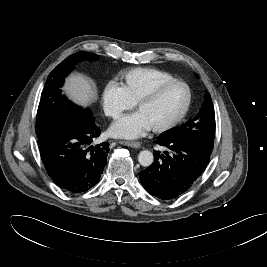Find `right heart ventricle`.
<instances>
[{
    "label": "right heart ventricle",
    "mask_w": 267,
    "mask_h": 267,
    "mask_svg": "<svg viewBox=\"0 0 267 267\" xmlns=\"http://www.w3.org/2000/svg\"><path fill=\"white\" fill-rule=\"evenodd\" d=\"M121 78L123 87L134 103L157 85L175 79L171 74L155 68H134L123 72Z\"/></svg>",
    "instance_id": "e07e8e85"
}]
</instances>
